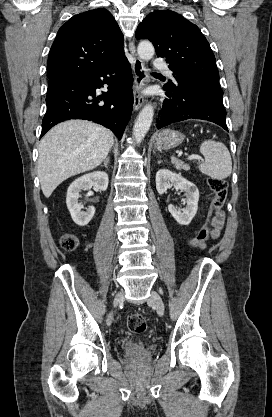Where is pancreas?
Segmentation results:
<instances>
[{"mask_svg":"<svg viewBox=\"0 0 272 417\" xmlns=\"http://www.w3.org/2000/svg\"><path fill=\"white\" fill-rule=\"evenodd\" d=\"M174 165L177 169L189 170V166L185 165L179 161H174Z\"/></svg>","mask_w":272,"mask_h":417,"instance_id":"cf45deb5","label":"pancreas"}]
</instances>
